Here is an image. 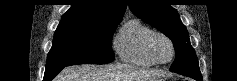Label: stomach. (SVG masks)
Here are the masks:
<instances>
[{
	"instance_id": "stomach-1",
	"label": "stomach",
	"mask_w": 237,
	"mask_h": 81,
	"mask_svg": "<svg viewBox=\"0 0 237 81\" xmlns=\"http://www.w3.org/2000/svg\"><path fill=\"white\" fill-rule=\"evenodd\" d=\"M153 81H165L164 78H159V79H156V80H153Z\"/></svg>"
}]
</instances>
